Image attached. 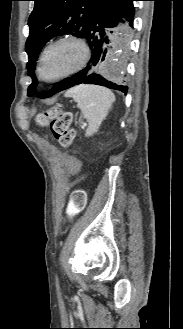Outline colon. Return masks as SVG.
<instances>
[{"mask_svg":"<svg viewBox=\"0 0 183 329\" xmlns=\"http://www.w3.org/2000/svg\"><path fill=\"white\" fill-rule=\"evenodd\" d=\"M72 114L58 106H51L37 116V122L42 126H48L52 136L62 145L71 144L74 132L70 128ZM86 203V194L82 190L72 193L69 206H64L63 221H72L73 218L82 217Z\"/></svg>","mask_w":183,"mask_h":329,"instance_id":"1","label":"colon"}]
</instances>
